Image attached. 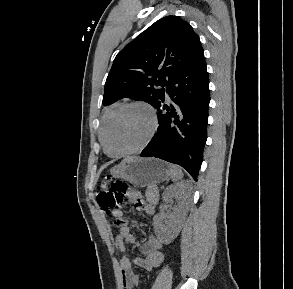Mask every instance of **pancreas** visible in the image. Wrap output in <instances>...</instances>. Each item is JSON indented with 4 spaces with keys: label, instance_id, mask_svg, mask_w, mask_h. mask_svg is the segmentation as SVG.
I'll return each mask as SVG.
<instances>
[{
    "label": "pancreas",
    "instance_id": "cf45deb5",
    "mask_svg": "<svg viewBox=\"0 0 293 289\" xmlns=\"http://www.w3.org/2000/svg\"><path fill=\"white\" fill-rule=\"evenodd\" d=\"M146 199L150 203H157L159 200V192L156 186H148L146 193Z\"/></svg>",
    "mask_w": 293,
    "mask_h": 289
}]
</instances>
